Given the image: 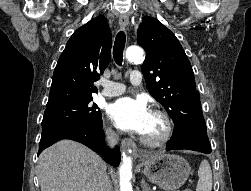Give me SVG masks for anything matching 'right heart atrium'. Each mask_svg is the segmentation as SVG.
Here are the masks:
<instances>
[{
	"instance_id": "d8ad5b80",
	"label": "right heart atrium",
	"mask_w": 251,
	"mask_h": 191,
	"mask_svg": "<svg viewBox=\"0 0 251 191\" xmlns=\"http://www.w3.org/2000/svg\"><path fill=\"white\" fill-rule=\"evenodd\" d=\"M105 135L106 138L111 142H115L118 139L117 133L111 127H106Z\"/></svg>"
}]
</instances>
